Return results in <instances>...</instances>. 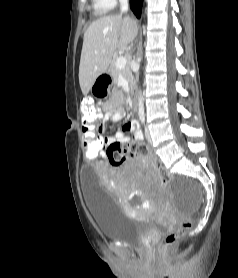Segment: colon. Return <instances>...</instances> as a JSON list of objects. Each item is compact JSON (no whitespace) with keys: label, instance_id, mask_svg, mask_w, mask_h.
Segmentation results:
<instances>
[{"label":"colon","instance_id":"obj_1","mask_svg":"<svg viewBox=\"0 0 238 278\" xmlns=\"http://www.w3.org/2000/svg\"><path fill=\"white\" fill-rule=\"evenodd\" d=\"M80 111V131H84V159H89L90 162H93L94 159L100 158L98 153H103V114L92 98H85L81 102ZM106 153L111 165H119L127 158H139L157 170L163 183L171 180V174L163 166L162 162L152 155L146 145L136 142L126 146L112 143L107 147ZM191 225L192 223L188 216H180L177 225L165 235L161 248L167 250L178 243Z\"/></svg>","mask_w":238,"mask_h":278}]
</instances>
